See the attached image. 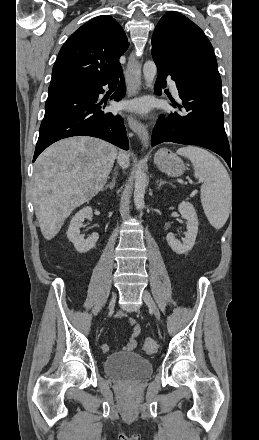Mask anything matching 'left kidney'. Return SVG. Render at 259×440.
Segmentation results:
<instances>
[{
	"label": "left kidney",
	"mask_w": 259,
	"mask_h": 440,
	"mask_svg": "<svg viewBox=\"0 0 259 440\" xmlns=\"http://www.w3.org/2000/svg\"><path fill=\"white\" fill-rule=\"evenodd\" d=\"M178 210L181 213L182 218L187 220V232L185 233V238L181 243L175 238L173 233H168L166 239L168 245L175 253L185 254L190 251L195 244L199 222L196 211L190 202H181L178 206Z\"/></svg>",
	"instance_id": "5707ae66"
}]
</instances>
